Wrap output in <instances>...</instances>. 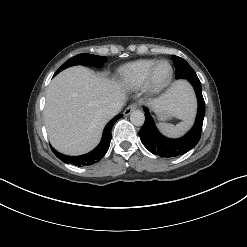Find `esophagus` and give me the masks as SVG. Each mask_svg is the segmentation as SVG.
<instances>
[{
    "instance_id": "1",
    "label": "esophagus",
    "mask_w": 247,
    "mask_h": 247,
    "mask_svg": "<svg viewBox=\"0 0 247 247\" xmlns=\"http://www.w3.org/2000/svg\"><path fill=\"white\" fill-rule=\"evenodd\" d=\"M138 107V104L133 103L131 105H129L125 111H124V115H129L133 110H135Z\"/></svg>"
}]
</instances>
